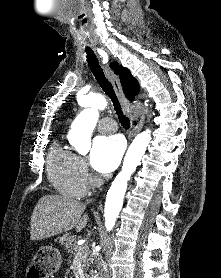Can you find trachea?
Instances as JSON below:
<instances>
[{
    "instance_id": "3493384b",
    "label": "trachea",
    "mask_w": 221,
    "mask_h": 278,
    "mask_svg": "<svg viewBox=\"0 0 221 278\" xmlns=\"http://www.w3.org/2000/svg\"><path fill=\"white\" fill-rule=\"evenodd\" d=\"M85 52L87 54V62L91 69V72L93 73L94 77L96 78L97 82L103 89V91L109 96L111 99L114 110L118 116V119L121 123V125L125 129H129L130 127V121L129 119L123 114L120 103L118 101V98L114 92V89L112 87V84L107 80V78L104 75L102 67L99 65L98 59L96 55L94 54L93 50L90 47H87L85 49Z\"/></svg>"
}]
</instances>
